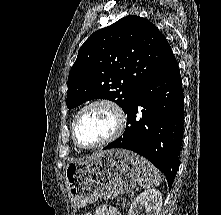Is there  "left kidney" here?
I'll use <instances>...</instances> for the list:
<instances>
[{
    "label": "left kidney",
    "instance_id": "left-kidney-1",
    "mask_svg": "<svg viewBox=\"0 0 221 215\" xmlns=\"http://www.w3.org/2000/svg\"><path fill=\"white\" fill-rule=\"evenodd\" d=\"M162 206V194L157 189H148L139 194L132 202L128 215H138L139 211H145L147 215H160Z\"/></svg>",
    "mask_w": 221,
    "mask_h": 215
}]
</instances>
